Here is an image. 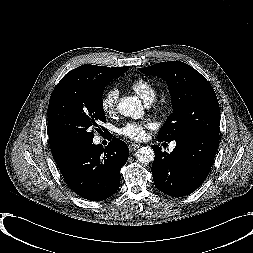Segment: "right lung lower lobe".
I'll return each mask as SVG.
<instances>
[{
    "label": "right lung lower lobe",
    "instance_id": "1",
    "mask_svg": "<svg viewBox=\"0 0 253 253\" xmlns=\"http://www.w3.org/2000/svg\"><path fill=\"white\" fill-rule=\"evenodd\" d=\"M128 156L127 144L118 138H112L106 148L92 141L77 147L59 169L77 195L91 201H102L119 189L120 169Z\"/></svg>",
    "mask_w": 253,
    "mask_h": 253
}]
</instances>
